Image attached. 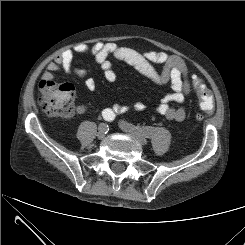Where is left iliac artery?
I'll list each match as a JSON object with an SVG mask.
<instances>
[{
    "instance_id": "1",
    "label": "left iliac artery",
    "mask_w": 245,
    "mask_h": 245,
    "mask_svg": "<svg viewBox=\"0 0 245 245\" xmlns=\"http://www.w3.org/2000/svg\"><path fill=\"white\" fill-rule=\"evenodd\" d=\"M125 125L129 126V127H134L132 124L126 123L124 122ZM138 132L142 133L143 135H145L146 137H151L154 132L155 129L153 127L147 126V127H134Z\"/></svg>"
}]
</instances>
